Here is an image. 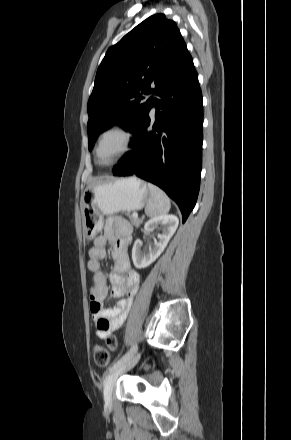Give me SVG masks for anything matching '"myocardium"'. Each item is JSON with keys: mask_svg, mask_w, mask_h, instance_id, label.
<instances>
[{"mask_svg": "<svg viewBox=\"0 0 291 440\" xmlns=\"http://www.w3.org/2000/svg\"><path fill=\"white\" fill-rule=\"evenodd\" d=\"M110 137H117L120 141L121 148L119 152L110 159L100 160L99 159L100 150L104 145V143L106 142V140L109 139ZM131 146H132V135L130 131L121 124L110 125L104 130H102L97 137L93 150L94 161L97 165L102 167L112 166L129 153Z\"/></svg>", "mask_w": 291, "mask_h": 440, "instance_id": "obj_1", "label": "myocardium"}]
</instances>
